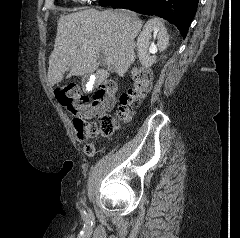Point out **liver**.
<instances>
[{
	"label": "liver",
	"mask_w": 240,
	"mask_h": 238,
	"mask_svg": "<svg viewBox=\"0 0 240 238\" xmlns=\"http://www.w3.org/2000/svg\"><path fill=\"white\" fill-rule=\"evenodd\" d=\"M141 28L137 14L126 10L87 9L61 16L49 57V85L61 82L68 66L67 77L96 71V84L104 82L107 74L98 70L100 53L112 61L115 73L124 76L135 60L134 39Z\"/></svg>",
	"instance_id": "liver-1"
}]
</instances>
